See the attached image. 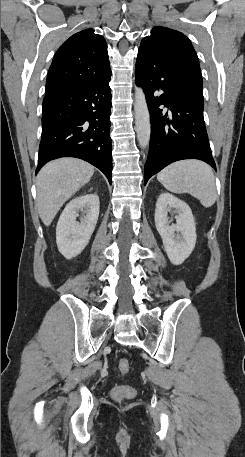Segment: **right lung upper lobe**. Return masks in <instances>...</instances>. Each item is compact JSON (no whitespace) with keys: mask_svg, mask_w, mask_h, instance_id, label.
<instances>
[{"mask_svg":"<svg viewBox=\"0 0 245 457\" xmlns=\"http://www.w3.org/2000/svg\"><path fill=\"white\" fill-rule=\"evenodd\" d=\"M111 73L105 39L85 29L66 40L49 68L46 94L69 84Z\"/></svg>","mask_w":245,"mask_h":457,"instance_id":"obj_1","label":"right lung upper lobe"}]
</instances>
